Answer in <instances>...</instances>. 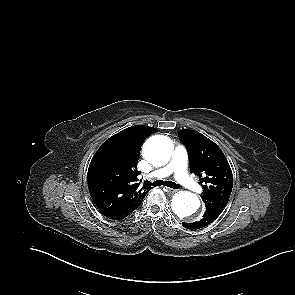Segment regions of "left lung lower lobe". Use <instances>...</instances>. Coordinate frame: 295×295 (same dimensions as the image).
Listing matches in <instances>:
<instances>
[{"label":"left lung lower lobe","mask_w":295,"mask_h":295,"mask_svg":"<svg viewBox=\"0 0 295 295\" xmlns=\"http://www.w3.org/2000/svg\"><path fill=\"white\" fill-rule=\"evenodd\" d=\"M222 208L218 207H207L206 211L203 215V218L199 221H196L194 223H185L183 222L182 225L187 229H199L202 227L207 226L208 224L212 223L222 212Z\"/></svg>","instance_id":"left-lung-lower-lobe-1"}]
</instances>
